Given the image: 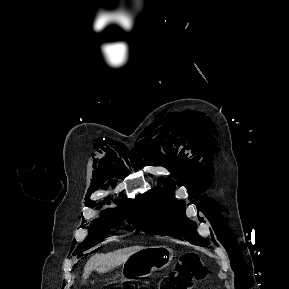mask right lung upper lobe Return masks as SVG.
Here are the masks:
<instances>
[{
    "instance_id": "1",
    "label": "right lung upper lobe",
    "mask_w": 289,
    "mask_h": 289,
    "mask_svg": "<svg viewBox=\"0 0 289 289\" xmlns=\"http://www.w3.org/2000/svg\"><path fill=\"white\" fill-rule=\"evenodd\" d=\"M123 197H124V201L115 200V201H114L115 204L120 205V204H122V203H128V202L134 203V201H132V200H126L125 196H123Z\"/></svg>"
}]
</instances>
